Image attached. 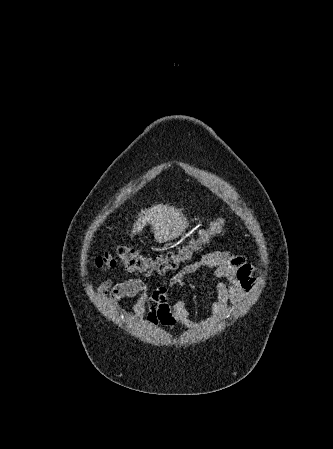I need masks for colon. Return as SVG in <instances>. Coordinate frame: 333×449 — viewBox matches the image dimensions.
<instances>
[{
  "instance_id": "5ec220e1",
  "label": "colon",
  "mask_w": 333,
  "mask_h": 449,
  "mask_svg": "<svg viewBox=\"0 0 333 449\" xmlns=\"http://www.w3.org/2000/svg\"><path fill=\"white\" fill-rule=\"evenodd\" d=\"M225 223L226 220L224 218L216 219L177 250L169 251L153 258L146 257L131 247L121 246L116 249L114 254L105 253L98 256L95 259V264L98 268H112L119 261L131 272L145 275L162 274L175 269L181 262L190 259L210 238L223 230Z\"/></svg>"
}]
</instances>
